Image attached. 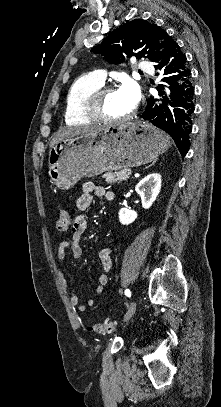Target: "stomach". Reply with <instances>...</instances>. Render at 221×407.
I'll list each match as a JSON object with an SVG mask.
<instances>
[{
	"label": "stomach",
	"instance_id": "obj_1",
	"mask_svg": "<svg viewBox=\"0 0 221 407\" xmlns=\"http://www.w3.org/2000/svg\"><path fill=\"white\" fill-rule=\"evenodd\" d=\"M169 137L145 123H126L67 137L49 152V176L63 190L82 177L152 162L170 147Z\"/></svg>",
	"mask_w": 221,
	"mask_h": 407
}]
</instances>
